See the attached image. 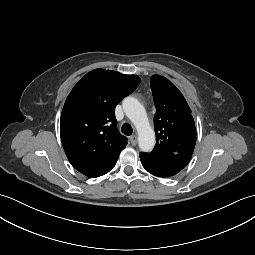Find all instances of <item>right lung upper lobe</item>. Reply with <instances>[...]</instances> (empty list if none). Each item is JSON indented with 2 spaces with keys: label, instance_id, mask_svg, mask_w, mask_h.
Listing matches in <instances>:
<instances>
[{
  "label": "right lung upper lobe",
  "instance_id": "cb5924a9",
  "mask_svg": "<svg viewBox=\"0 0 255 255\" xmlns=\"http://www.w3.org/2000/svg\"><path fill=\"white\" fill-rule=\"evenodd\" d=\"M136 75L96 69L72 89L60 118V136L72 166L90 178L108 173L127 138L116 127V105L139 85Z\"/></svg>",
  "mask_w": 255,
  "mask_h": 255
}]
</instances>
